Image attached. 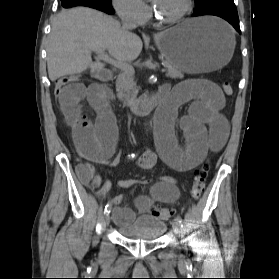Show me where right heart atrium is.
Here are the masks:
<instances>
[{"instance_id":"d8ad5b80","label":"right heart atrium","mask_w":279,"mask_h":279,"mask_svg":"<svg viewBox=\"0 0 279 279\" xmlns=\"http://www.w3.org/2000/svg\"><path fill=\"white\" fill-rule=\"evenodd\" d=\"M112 5L120 18L136 24L143 23L150 13L141 0H112Z\"/></svg>"}]
</instances>
